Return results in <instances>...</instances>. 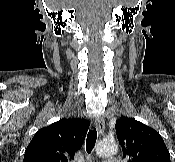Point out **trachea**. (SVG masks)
<instances>
[{
  "mask_svg": "<svg viewBox=\"0 0 175 162\" xmlns=\"http://www.w3.org/2000/svg\"><path fill=\"white\" fill-rule=\"evenodd\" d=\"M97 140V130L96 128L90 129L86 139V151L90 154L95 146Z\"/></svg>",
  "mask_w": 175,
  "mask_h": 162,
  "instance_id": "3493384b",
  "label": "trachea"
}]
</instances>
